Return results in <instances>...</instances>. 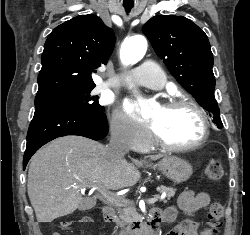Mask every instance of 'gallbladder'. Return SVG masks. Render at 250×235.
Masks as SVG:
<instances>
[{
  "instance_id": "1",
  "label": "gallbladder",
  "mask_w": 250,
  "mask_h": 235,
  "mask_svg": "<svg viewBox=\"0 0 250 235\" xmlns=\"http://www.w3.org/2000/svg\"><path fill=\"white\" fill-rule=\"evenodd\" d=\"M89 208H91V206L88 204V201H86V200L81 202V204L79 205L80 210H86Z\"/></svg>"
}]
</instances>
